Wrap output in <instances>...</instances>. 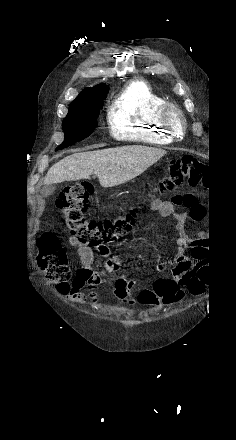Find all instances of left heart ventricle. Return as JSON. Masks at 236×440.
<instances>
[{
    "label": "left heart ventricle",
    "mask_w": 236,
    "mask_h": 440,
    "mask_svg": "<svg viewBox=\"0 0 236 440\" xmlns=\"http://www.w3.org/2000/svg\"><path fill=\"white\" fill-rule=\"evenodd\" d=\"M174 122L176 125L178 124V119L176 117L174 118Z\"/></svg>",
    "instance_id": "obj_1"
}]
</instances>
